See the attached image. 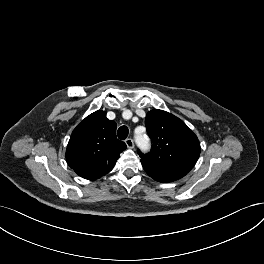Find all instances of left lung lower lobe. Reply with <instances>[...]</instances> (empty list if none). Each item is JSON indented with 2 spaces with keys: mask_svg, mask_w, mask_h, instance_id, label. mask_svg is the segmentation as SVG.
Returning <instances> with one entry per match:
<instances>
[{
  "mask_svg": "<svg viewBox=\"0 0 264 264\" xmlns=\"http://www.w3.org/2000/svg\"><path fill=\"white\" fill-rule=\"evenodd\" d=\"M141 163L144 170L151 178L163 183L178 180L187 174L186 171L176 168L161 166L142 159H141Z\"/></svg>",
  "mask_w": 264,
  "mask_h": 264,
  "instance_id": "1",
  "label": "left lung lower lobe"
}]
</instances>
